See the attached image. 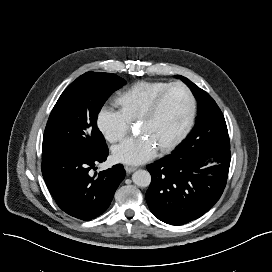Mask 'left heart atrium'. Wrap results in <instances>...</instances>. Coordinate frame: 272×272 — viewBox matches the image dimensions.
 I'll return each mask as SVG.
<instances>
[{
  "instance_id": "left-heart-atrium-1",
  "label": "left heart atrium",
  "mask_w": 272,
  "mask_h": 272,
  "mask_svg": "<svg viewBox=\"0 0 272 272\" xmlns=\"http://www.w3.org/2000/svg\"><path fill=\"white\" fill-rule=\"evenodd\" d=\"M157 147L150 138L145 135L128 137L121 144L113 149V156L116 161L139 165L150 159L156 154Z\"/></svg>"
}]
</instances>
